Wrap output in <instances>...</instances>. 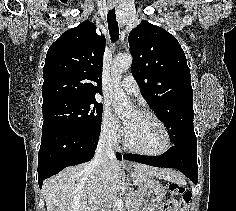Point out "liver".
Masks as SVG:
<instances>
[{
  "label": "liver",
  "mask_w": 236,
  "mask_h": 211,
  "mask_svg": "<svg viewBox=\"0 0 236 211\" xmlns=\"http://www.w3.org/2000/svg\"><path fill=\"white\" fill-rule=\"evenodd\" d=\"M90 163L67 167L44 181L42 191L47 211H100L110 196L123 189L122 162L113 160L105 167H90ZM154 177L175 182L179 175L169 169L133 164L130 179L134 186Z\"/></svg>",
  "instance_id": "6515ba94"
}]
</instances>
